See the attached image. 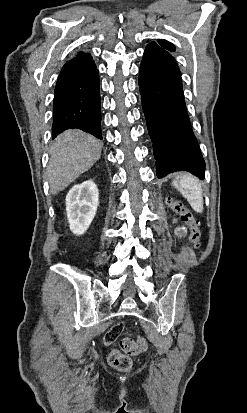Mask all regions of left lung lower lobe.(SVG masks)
Instances as JSON below:
<instances>
[{"label": "left lung lower lobe", "instance_id": "left-lung-lower-lobe-1", "mask_svg": "<svg viewBox=\"0 0 247 413\" xmlns=\"http://www.w3.org/2000/svg\"><path fill=\"white\" fill-rule=\"evenodd\" d=\"M139 88L157 177L183 170L203 180L205 162L187 113L181 73L168 50L146 47Z\"/></svg>", "mask_w": 247, "mask_h": 413}]
</instances>
